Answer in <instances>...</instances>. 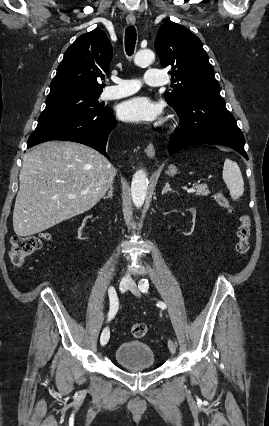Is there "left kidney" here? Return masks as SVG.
<instances>
[{
	"label": "left kidney",
	"instance_id": "5707ae66",
	"mask_svg": "<svg viewBox=\"0 0 269 426\" xmlns=\"http://www.w3.org/2000/svg\"><path fill=\"white\" fill-rule=\"evenodd\" d=\"M188 211L192 215V220L189 221L190 227L183 232V234L186 236H189L192 234L195 227V218H196V210L194 208H190L188 209Z\"/></svg>",
	"mask_w": 269,
	"mask_h": 426
}]
</instances>
